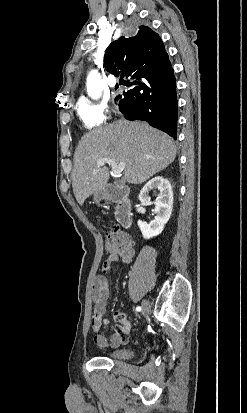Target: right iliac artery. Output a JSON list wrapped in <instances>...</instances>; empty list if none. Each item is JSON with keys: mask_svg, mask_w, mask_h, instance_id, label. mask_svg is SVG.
Listing matches in <instances>:
<instances>
[{"mask_svg": "<svg viewBox=\"0 0 247 413\" xmlns=\"http://www.w3.org/2000/svg\"><path fill=\"white\" fill-rule=\"evenodd\" d=\"M136 310H137V311H140V310H141V307H137Z\"/></svg>", "mask_w": 247, "mask_h": 413, "instance_id": "1", "label": "right iliac artery"}]
</instances>
